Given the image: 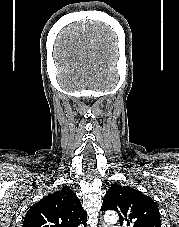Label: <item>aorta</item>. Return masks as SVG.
I'll return each mask as SVG.
<instances>
[{
    "instance_id": "aorta-1",
    "label": "aorta",
    "mask_w": 179,
    "mask_h": 227,
    "mask_svg": "<svg viewBox=\"0 0 179 227\" xmlns=\"http://www.w3.org/2000/svg\"><path fill=\"white\" fill-rule=\"evenodd\" d=\"M104 219L109 224H116L118 221V215L114 211H108L105 213Z\"/></svg>"
}]
</instances>
